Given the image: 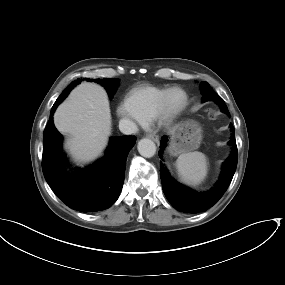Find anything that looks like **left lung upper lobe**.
<instances>
[{"mask_svg":"<svg viewBox=\"0 0 285 285\" xmlns=\"http://www.w3.org/2000/svg\"><path fill=\"white\" fill-rule=\"evenodd\" d=\"M200 87L203 95V102L215 101L220 104L222 112L226 114L229 113L223 99L210 87L207 82H202Z\"/></svg>","mask_w":285,"mask_h":285,"instance_id":"5c2ea615","label":"left lung upper lobe"}]
</instances>
